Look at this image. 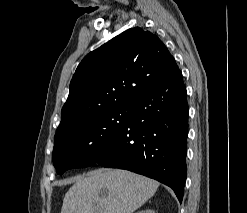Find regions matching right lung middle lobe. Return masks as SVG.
<instances>
[{
	"mask_svg": "<svg viewBox=\"0 0 247 213\" xmlns=\"http://www.w3.org/2000/svg\"><path fill=\"white\" fill-rule=\"evenodd\" d=\"M131 112L130 101H124L55 137L53 164L57 174L96 163L108 150L114 134L126 124Z\"/></svg>",
	"mask_w": 247,
	"mask_h": 213,
	"instance_id": "obj_1",
	"label": "right lung middle lobe"
}]
</instances>
